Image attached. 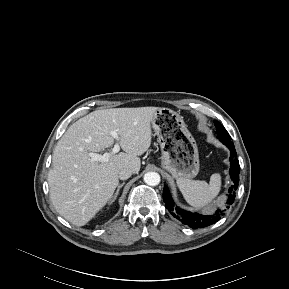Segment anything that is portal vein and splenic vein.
<instances>
[{"label": "portal vein and splenic vein", "instance_id": "portal-vein-and-splenic-vein-1", "mask_svg": "<svg viewBox=\"0 0 289 289\" xmlns=\"http://www.w3.org/2000/svg\"><path fill=\"white\" fill-rule=\"evenodd\" d=\"M109 134L117 141V143L114 145L112 151L109 153L106 152L103 155L97 154V153H90L89 155H90L92 161L107 162L112 154H116L119 152L120 145L118 143V141H119L118 133L115 130H113V131H110Z\"/></svg>", "mask_w": 289, "mask_h": 289}]
</instances>
